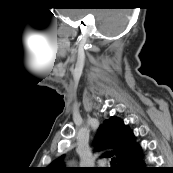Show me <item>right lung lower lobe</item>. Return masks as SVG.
<instances>
[{"instance_id": "98d812e1", "label": "right lung lower lobe", "mask_w": 173, "mask_h": 173, "mask_svg": "<svg viewBox=\"0 0 173 173\" xmlns=\"http://www.w3.org/2000/svg\"><path fill=\"white\" fill-rule=\"evenodd\" d=\"M155 170L145 166L141 149L138 147L128 155L119 165L116 173H154Z\"/></svg>"}]
</instances>
